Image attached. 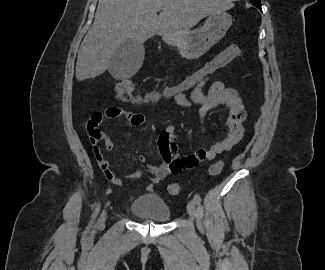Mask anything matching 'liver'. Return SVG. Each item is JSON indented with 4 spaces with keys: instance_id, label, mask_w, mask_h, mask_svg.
<instances>
[{
    "instance_id": "liver-1",
    "label": "liver",
    "mask_w": 325,
    "mask_h": 270,
    "mask_svg": "<svg viewBox=\"0 0 325 270\" xmlns=\"http://www.w3.org/2000/svg\"><path fill=\"white\" fill-rule=\"evenodd\" d=\"M232 7L231 0H99L94 23L78 52L76 78L83 81L103 74L114 52L129 39L143 44L156 34L181 37L206 16Z\"/></svg>"
}]
</instances>
